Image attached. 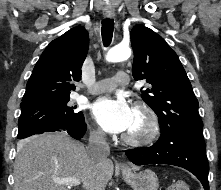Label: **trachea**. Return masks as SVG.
<instances>
[{
  "instance_id": "obj_1",
  "label": "trachea",
  "mask_w": 221,
  "mask_h": 190,
  "mask_svg": "<svg viewBox=\"0 0 221 190\" xmlns=\"http://www.w3.org/2000/svg\"><path fill=\"white\" fill-rule=\"evenodd\" d=\"M113 29H114L113 19L106 18L102 21L101 34H102L103 44L105 47L109 46L112 41Z\"/></svg>"
}]
</instances>
